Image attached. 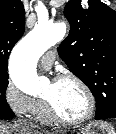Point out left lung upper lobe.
I'll list each match as a JSON object with an SVG mask.
<instances>
[{
  "label": "left lung upper lobe",
  "mask_w": 116,
  "mask_h": 134,
  "mask_svg": "<svg viewBox=\"0 0 116 134\" xmlns=\"http://www.w3.org/2000/svg\"><path fill=\"white\" fill-rule=\"evenodd\" d=\"M64 14L70 32L58 53L69 70L91 90L96 115L116 112V12L99 0L69 1Z\"/></svg>",
  "instance_id": "5c2ea615"
}]
</instances>
